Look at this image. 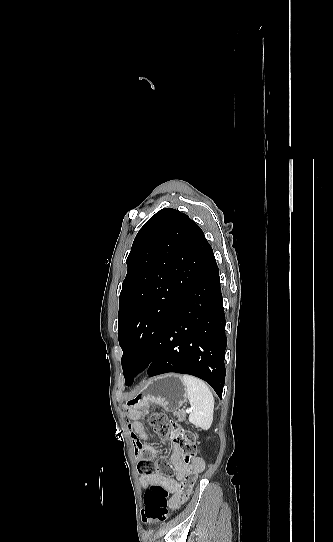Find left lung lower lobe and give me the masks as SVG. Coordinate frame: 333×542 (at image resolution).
<instances>
[{
    "instance_id": "1",
    "label": "left lung lower lobe",
    "mask_w": 333,
    "mask_h": 542,
    "mask_svg": "<svg viewBox=\"0 0 333 542\" xmlns=\"http://www.w3.org/2000/svg\"><path fill=\"white\" fill-rule=\"evenodd\" d=\"M225 316L218 266L211 250L163 330L149 377L175 372L206 381L221 398L225 383ZM128 380L126 385H132Z\"/></svg>"
}]
</instances>
